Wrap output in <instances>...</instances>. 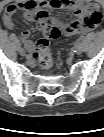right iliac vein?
Returning <instances> with one entry per match:
<instances>
[{"label": "right iliac vein", "instance_id": "obj_1", "mask_svg": "<svg viewBox=\"0 0 104 137\" xmlns=\"http://www.w3.org/2000/svg\"><path fill=\"white\" fill-rule=\"evenodd\" d=\"M18 51H19V54H20V55H22V56H25V55H26L24 49L20 48ZM27 57H28V55H27Z\"/></svg>", "mask_w": 104, "mask_h": 137}]
</instances>
